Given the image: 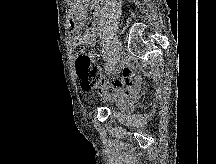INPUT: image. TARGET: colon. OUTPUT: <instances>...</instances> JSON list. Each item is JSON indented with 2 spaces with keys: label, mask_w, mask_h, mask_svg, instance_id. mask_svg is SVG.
Returning <instances> with one entry per match:
<instances>
[{
  "label": "colon",
  "mask_w": 216,
  "mask_h": 164,
  "mask_svg": "<svg viewBox=\"0 0 216 164\" xmlns=\"http://www.w3.org/2000/svg\"><path fill=\"white\" fill-rule=\"evenodd\" d=\"M73 46L75 51L80 53L76 59V69L82 88L85 90L96 88L101 82V74L94 65L92 57L88 54H81L84 48L83 40L75 38Z\"/></svg>",
  "instance_id": "5ec220e1"
}]
</instances>
